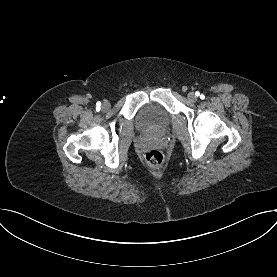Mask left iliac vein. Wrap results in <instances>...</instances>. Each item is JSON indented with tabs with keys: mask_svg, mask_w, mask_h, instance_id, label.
<instances>
[{
	"mask_svg": "<svg viewBox=\"0 0 277 277\" xmlns=\"http://www.w3.org/2000/svg\"><path fill=\"white\" fill-rule=\"evenodd\" d=\"M188 99H189L191 102H195V101L197 100V97H196L195 93L190 92V93L188 94Z\"/></svg>",
	"mask_w": 277,
	"mask_h": 277,
	"instance_id": "obj_1",
	"label": "left iliac vein"
}]
</instances>
